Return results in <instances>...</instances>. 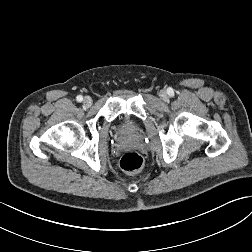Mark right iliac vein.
Returning a JSON list of instances; mask_svg holds the SVG:
<instances>
[{
  "label": "right iliac vein",
  "instance_id": "63e3f726",
  "mask_svg": "<svg viewBox=\"0 0 252 252\" xmlns=\"http://www.w3.org/2000/svg\"><path fill=\"white\" fill-rule=\"evenodd\" d=\"M83 104L86 106V107H90L92 105V99L91 97L89 96H86L83 100Z\"/></svg>",
  "mask_w": 252,
  "mask_h": 252
}]
</instances>
